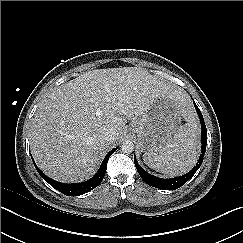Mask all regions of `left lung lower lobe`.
Instances as JSON below:
<instances>
[{
  "instance_id": "0a47b994",
  "label": "left lung lower lobe",
  "mask_w": 243,
  "mask_h": 243,
  "mask_svg": "<svg viewBox=\"0 0 243 243\" xmlns=\"http://www.w3.org/2000/svg\"><path fill=\"white\" fill-rule=\"evenodd\" d=\"M194 106L199 115L200 122L202 125V134H201L202 154H201L200 159L198 160L196 166L190 172H188L187 174H185L183 176L171 178V179H162V178H158V177L153 176V175L149 174L148 172H146L141 166H139V164L135 160V155H134V163H135L136 169L146 184L156 187V188L163 189V190L178 189L182 185H184L190 178H192L193 175L196 173V171L201 166V164L203 162V157H204V154L206 151V145H207V129H206L205 122L203 120V116L195 102H194Z\"/></svg>"
}]
</instances>
